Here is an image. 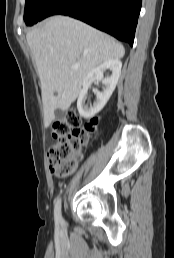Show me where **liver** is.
I'll use <instances>...</instances> for the list:
<instances>
[{"label":"liver","instance_id":"6515ba94","mask_svg":"<svg viewBox=\"0 0 174 258\" xmlns=\"http://www.w3.org/2000/svg\"><path fill=\"white\" fill-rule=\"evenodd\" d=\"M41 81L44 119L67 110L77 98L84 78L95 67L120 59L125 50L112 37L66 16H53L26 35ZM78 65L77 69L71 66Z\"/></svg>","mask_w":174,"mask_h":258}]
</instances>
